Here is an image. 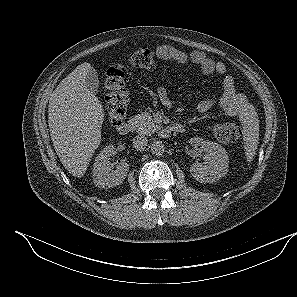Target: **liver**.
<instances>
[{
	"instance_id": "liver-1",
	"label": "liver",
	"mask_w": 297,
	"mask_h": 297,
	"mask_svg": "<svg viewBox=\"0 0 297 297\" xmlns=\"http://www.w3.org/2000/svg\"><path fill=\"white\" fill-rule=\"evenodd\" d=\"M90 63H82L53 91L48 124L54 149L69 173L82 177L101 142L104 110L85 85Z\"/></svg>"
}]
</instances>
